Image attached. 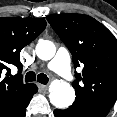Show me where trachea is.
Segmentation results:
<instances>
[{
    "mask_svg": "<svg viewBox=\"0 0 117 117\" xmlns=\"http://www.w3.org/2000/svg\"><path fill=\"white\" fill-rule=\"evenodd\" d=\"M35 79H36V75L33 71H29L26 73V75H25L26 82H32V81H35ZM37 80H38V82H40L42 84H47L49 81V78L45 74L40 73L37 76Z\"/></svg>",
    "mask_w": 117,
    "mask_h": 117,
    "instance_id": "obj_1",
    "label": "trachea"
}]
</instances>
